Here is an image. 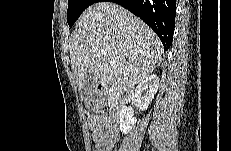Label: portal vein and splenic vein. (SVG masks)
<instances>
[{"mask_svg": "<svg viewBox=\"0 0 231 151\" xmlns=\"http://www.w3.org/2000/svg\"><path fill=\"white\" fill-rule=\"evenodd\" d=\"M102 55H106V52H102ZM110 63H111L112 65H117V63H116L115 61H110Z\"/></svg>", "mask_w": 231, "mask_h": 151, "instance_id": "obj_1", "label": "portal vein and splenic vein"}]
</instances>
